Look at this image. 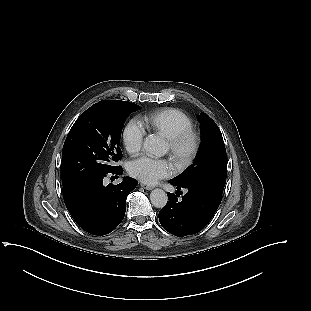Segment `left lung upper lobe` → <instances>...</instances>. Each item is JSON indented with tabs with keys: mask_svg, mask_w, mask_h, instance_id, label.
I'll list each match as a JSON object with an SVG mask.
<instances>
[{
	"mask_svg": "<svg viewBox=\"0 0 311 311\" xmlns=\"http://www.w3.org/2000/svg\"><path fill=\"white\" fill-rule=\"evenodd\" d=\"M201 143L194 159L184 172L172 179L183 186H198L222 197L226 182V150L216 123L205 113L198 116Z\"/></svg>",
	"mask_w": 311,
	"mask_h": 311,
	"instance_id": "1",
	"label": "left lung upper lobe"
}]
</instances>
